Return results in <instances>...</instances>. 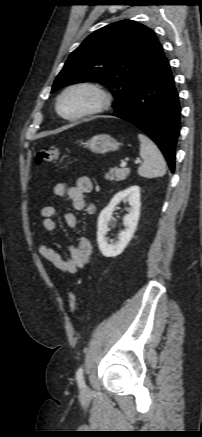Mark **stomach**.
Masks as SVG:
<instances>
[{"mask_svg": "<svg viewBox=\"0 0 202 437\" xmlns=\"http://www.w3.org/2000/svg\"><path fill=\"white\" fill-rule=\"evenodd\" d=\"M120 143L108 134H99L93 136L85 143V147L97 154H105L110 151H116Z\"/></svg>", "mask_w": 202, "mask_h": 437, "instance_id": "0dacf381", "label": "stomach"}]
</instances>
